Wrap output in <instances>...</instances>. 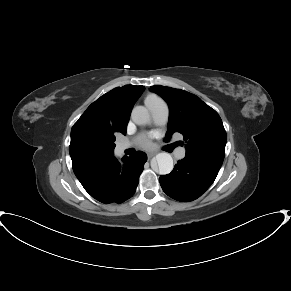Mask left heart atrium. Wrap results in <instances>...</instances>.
Returning a JSON list of instances; mask_svg holds the SVG:
<instances>
[{
	"instance_id": "left-heart-atrium-1",
	"label": "left heart atrium",
	"mask_w": 291,
	"mask_h": 291,
	"mask_svg": "<svg viewBox=\"0 0 291 291\" xmlns=\"http://www.w3.org/2000/svg\"><path fill=\"white\" fill-rule=\"evenodd\" d=\"M143 143L147 145V144H148V140L145 138V139L143 140Z\"/></svg>"
}]
</instances>
